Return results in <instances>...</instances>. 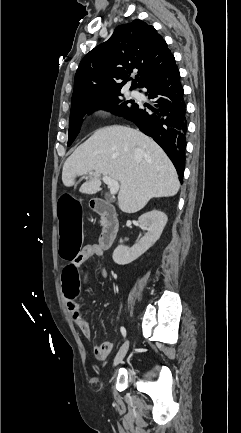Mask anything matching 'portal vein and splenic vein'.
Wrapping results in <instances>:
<instances>
[{
    "mask_svg": "<svg viewBox=\"0 0 241 433\" xmlns=\"http://www.w3.org/2000/svg\"><path fill=\"white\" fill-rule=\"evenodd\" d=\"M89 174H92V172H89ZM102 180H103V182H104V183L109 187V189H110V193H111L112 195H113V194H116V193L118 192L119 187H120L118 181L113 180V179H111V178L108 177V176H103Z\"/></svg>",
    "mask_w": 241,
    "mask_h": 433,
    "instance_id": "18ae733b",
    "label": "portal vein and splenic vein"
}]
</instances>
